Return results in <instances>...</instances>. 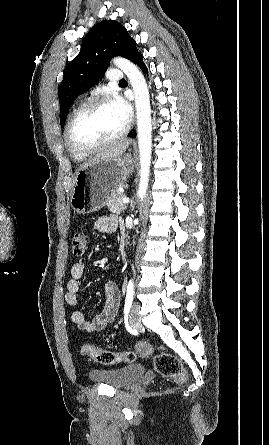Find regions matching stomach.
I'll return each instance as SVG.
<instances>
[{"label": "stomach", "mask_w": 269, "mask_h": 445, "mask_svg": "<svg viewBox=\"0 0 269 445\" xmlns=\"http://www.w3.org/2000/svg\"><path fill=\"white\" fill-rule=\"evenodd\" d=\"M134 158L125 154L112 160H100L81 168L74 181L70 204L79 214L100 210L114 191L133 172Z\"/></svg>", "instance_id": "1"}]
</instances>
